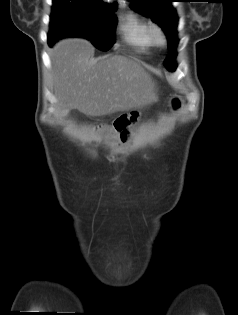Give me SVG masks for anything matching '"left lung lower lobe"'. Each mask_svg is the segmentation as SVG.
Returning <instances> with one entry per match:
<instances>
[{
    "label": "left lung lower lobe",
    "mask_w": 238,
    "mask_h": 315,
    "mask_svg": "<svg viewBox=\"0 0 238 315\" xmlns=\"http://www.w3.org/2000/svg\"><path fill=\"white\" fill-rule=\"evenodd\" d=\"M177 43H178L177 37H173V38L170 39L169 42H168V48H169V50H170V55H171L173 58L176 57V54L174 53V49H175Z\"/></svg>",
    "instance_id": "left-lung-lower-lobe-1"
}]
</instances>
